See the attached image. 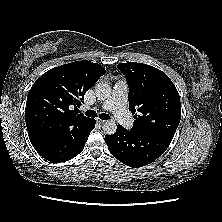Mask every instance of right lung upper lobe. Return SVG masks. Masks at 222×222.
Masks as SVG:
<instances>
[{
  "label": "right lung upper lobe",
  "instance_id": "1",
  "mask_svg": "<svg viewBox=\"0 0 222 222\" xmlns=\"http://www.w3.org/2000/svg\"><path fill=\"white\" fill-rule=\"evenodd\" d=\"M105 73L90 61H76L55 67L36 80L29 90L25 121L32 145L56 134L83 129L91 120L74 113L84 94Z\"/></svg>",
  "mask_w": 222,
  "mask_h": 222
}]
</instances>
